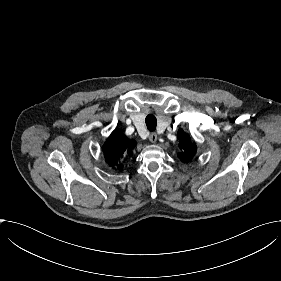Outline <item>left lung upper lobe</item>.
<instances>
[{"mask_svg":"<svg viewBox=\"0 0 281 281\" xmlns=\"http://www.w3.org/2000/svg\"><path fill=\"white\" fill-rule=\"evenodd\" d=\"M178 139H179V147L181 148V152L178 154V157L183 162L190 161L194 155L196 154V145L192 143L189 139V135L184 132L183 129H179L178 131Z\"/></svg>","mask_w":281,"mask_h":281,"instance_id":"5c2ea615","label":"left lung upper lobe"}]
</instances>
